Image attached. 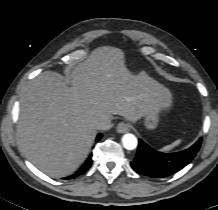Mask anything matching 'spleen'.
<instances>
[{"mask_svg":"<svg viewBox=\"0 0 218 210\" xmlns=\"http://www.w3.org/2000/svg\"><path fill=\"white\" fill-rule=\"evenodd\" d=\"M181 142V140H176L175 142H173L171 145H167L165 147H163L161 150L162 151H169L171 150L172 148H174L175 146L179 145Z\"/></svg>","mask_w":218,"mask_h":210,"instance_id":"3e777b00","label":"spleen"}]
</instances>
